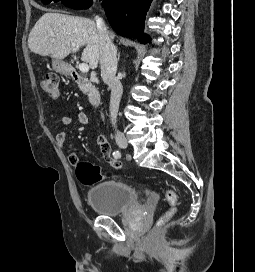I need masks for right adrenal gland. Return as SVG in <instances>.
Here are the masks:
<instances>
[{
  "label": "right adrenal gland",
  "mask_w": 255,
  "mask_h": 272,
  "mask_svg": "<svg viewBox=\"0 0 255 272\" xmlns=\"http://www.w3.org/2000/svg\"><path fill=\"white\" fill-rule=\"evenodd\" d=\"M119 58H120V53H118V60H119Z\"/></svg>",
  "instance_id": "right-adrenal-gland-1"
}]
</instances>
